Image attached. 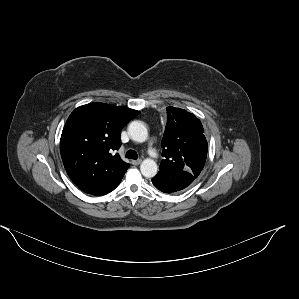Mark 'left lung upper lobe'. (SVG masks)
I'll use <instances>...</instances> for the list:
<instances>
[{
    "label": "left lung upper lobe",
    "instance_id": "left-lung-upper-lobe-1",
    "mask_svg": "<svg viewBox=\"0 0 299 299\" xmlns=\"http://www.w3.org/2000/svg\"><path fill=\"white\" fill-rule=\"evenodd\" d=\"M199 119L186 110L168 107L162 139L160 170L186 171L194 178L201 173L207 157V140Z\"/></svg>",
    "mask_w": 299,
    "mask_h": 299
}]
</instances>
